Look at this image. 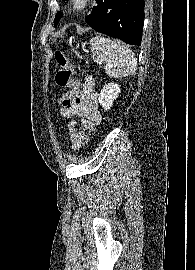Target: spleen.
<instances>
[{"instance_id": "3e777b00", "label": "spleen", "mask_w": 195, "mask_h": 270, "mask_svg": "<svg viewBox=\"0 0 195 270\" xmlns=\"http://www.w3.org/2000/svg\"><path fill=\"white\" fill-rule=\"evenodd\" d=\"M92 57L96 63L105 64V73L112 78L127 77L135 73L137 59L133 51L120 41L93 37L90 41Z\"/></svg>"}]
</instances>
